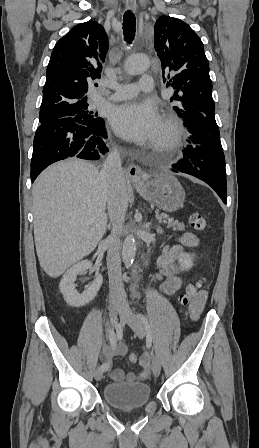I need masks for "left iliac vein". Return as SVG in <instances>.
I'll return each instance as SVG.
<instances>
[{
	"label": "left iliac vein",
	"instance_id": "1",
	"mask_svg": "<svg viewBox=\"0 0 259 448\" xmlns=\"http://www.w3.org/2000/svg\"><path fill=\"white\" fill-rule=\"evenodd\" d=\"M119 315L121 319L128 324V326L134 331V333L139 337L143 338L146 333V329L140 316L135 314L125 301L121 302L119 308ZM152 371L155 377H158L161 372V362L157 356L153 357L152 360Z\"/></svg>",
	"mask_w": 259,
	"mask_h": 448
}]
</instances>
